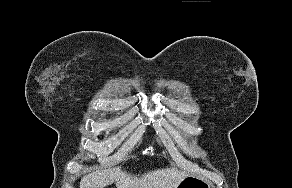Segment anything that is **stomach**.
<instances>
[{
  "label": "stomach",
  "mask_w": 292,
  "mask_h": 188,
  "mask_svg": "<svg viewBox=\"0 0 292 188\" xmlns=\"http://www.w3.org/2000/svg\"><path fill=\"white\" fill-rule=\"evenodd\" d=\"M176 188H211V183L199 177L186 176Z\"/></svg>",
  "instance_id": "stomach-1"
}]
</instances>
